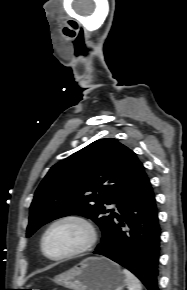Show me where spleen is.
<instances>
[{"mask_svg":"<svg viewBox=\"0 0 187 290\" xmlns=\"http://www.w3.org/2000/svg\"><path fill=\"white\" fill-rule=\"evenodd\" d=\"M127 279L128 290H142L139 280L127 269H123Z\"/></svg>","mask_w":187,"mask_h":290,"instance_id":"3e777b00","label":"spleen"}]
</instances>
